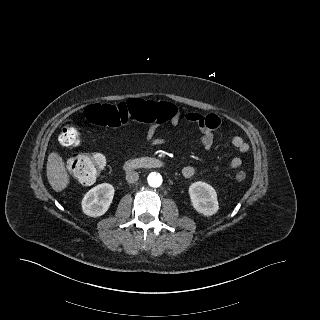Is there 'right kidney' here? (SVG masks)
Returning <instances> with one entry per match:
<instances>
[{"instance_id": "right-kidney-1", "label": "right kidney", "mask_w": 320, "mask_h": 320, "mask_svg": "<svg viewBox=\"0 0 320 320\" xmlns=\"http://www.w3.org/2000/svg\"><path fill=\"white\" fill-rule=\"evenodd\" d=\"M114 187L102 183L89 190L82 200V211L89 217H99L109 209L114 197Z\"/></svg>"}]
</instances>
